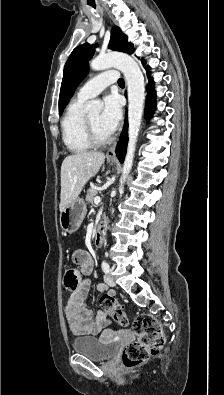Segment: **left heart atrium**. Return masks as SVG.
<instances>
[{"label": "left heart atrium", "mask_w": 224, "mask_h": 395, "mask_svg": "<svg viewBox=\"0 0 224 395\" xmlns=\"http://www.w3.org/2000/svg\"><path fill=\"white\" fill-rule=\"evenodd\" d=\"M122 116V105L116 94H110L103 99V110L100 122L103 128L110 134L117 128Z\"/></svg>", "instance_id": "obj_1"}]
</instances>
